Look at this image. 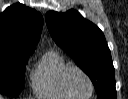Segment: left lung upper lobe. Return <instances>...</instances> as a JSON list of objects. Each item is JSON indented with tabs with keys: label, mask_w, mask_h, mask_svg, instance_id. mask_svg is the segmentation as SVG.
Returning <instances> with one entry per match:
<instances>
[{
	"label": "left lung upper lobe",
	"mask_w": 128,
	"mask_h": 99,
	"mask_svg": "<svg viewBox=\"0 0 128 99\" xmlns=\"http://www.w3.org/2000/svg\"><path fill=\"white\" fill-rule=\"evenodd\" d=\"M46 23L54 41L90 77L98 99L116 98L115 70L102 31L73 9L49 11Z\"/></svg>",
	"instance_id": "1"
}]
</instances>
